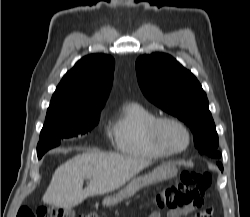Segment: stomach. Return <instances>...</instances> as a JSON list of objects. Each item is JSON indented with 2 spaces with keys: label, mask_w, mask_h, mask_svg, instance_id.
Returning a JSON list of instances; mask_svg holds the SVG:
<instances>
[{
  "label": "stomach",
  "mask_w": 250,
  "mask_h": 217,
  "mask_svg": "<svg viewBox=\"0 0 250 217\" xmlns=\"http://www.w3.org/2000/svg\"><path fill=\"white\" fill-rule=\"evenodd\" d=\"M176 173L177 169L175 165L170 163L162 164L147 175L137 176L133 178L124 190L117 194L106 196L103 199L102 204L106 207L117 205L124 199L132 197L141 188L153 184L155 182L171 178L176 175Z\"/></svg>",
  "instance_id": "1"
}]
</instances>
